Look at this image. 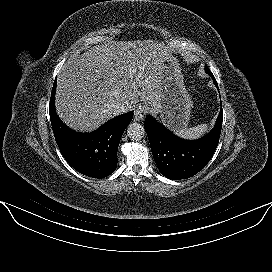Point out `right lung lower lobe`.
Listing matches in <instances>:
<instances>
[{"mask_svg": "<svg viewBox=\"0 0 272 272\" xmlns=\"http://www.w3.org/2000/svg\"><path fill=\"white\" fill-rule=\"evenodd\" d=\"M56 79L49 104L55 140L66 161L78 172L93 178H104L117 167V149L122 134L132 121L133 112L117 116L91 133L70 130L55 110Z\"/></svg>", "mask_w": 272, "mask_h": 272, "instance_id": "obj_1", "label": "right lung lower lobe"}]
</instances>
